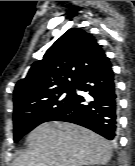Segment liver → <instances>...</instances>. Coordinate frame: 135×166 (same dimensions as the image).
I'll return each mask as SVG.
<instances>
[{
	"label": "liver",
	"mask_w": 135,
	"mask_h": 166,
	"mask_svg": "<svg viewBox=\"0 0 135 166\" xmlns=\"http://www.w3.org/2000/svg\"><path fill=\"white\" fill-rule=\"evenodd\" d=\"M30 150L19 155L12 166L105 165L112 156L109 141L67 122H48L27 137Z\"/></svg>",
	"instance_id": "6515ba94"
}]
</instances>
